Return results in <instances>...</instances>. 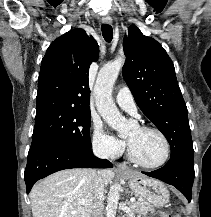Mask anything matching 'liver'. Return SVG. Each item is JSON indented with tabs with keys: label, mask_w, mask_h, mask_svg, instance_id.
Instances as JSON below:
<instances>
[{
	"label": "liver",
	"mask_w": 211,
	"mask_h": 217,
	"mask_svg": "<svg viewBox=\"0 0 211 217\" xmlns=\"http://www.w3.org/2000/svg\"><path fill=\"white\" fill-rule=\"evenodd\" d=\"M101 172L107 185L115 174L110 169ZM96 175L94 170L75 168L48 176L30 192L33 217H91Z\"/></svg>",
	"instance_id": "1"
}]
</instances>
